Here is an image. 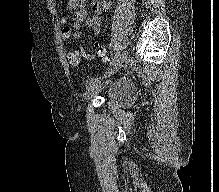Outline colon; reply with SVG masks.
I'll return each mask as SVG.
<instances>
[{
  "label": "colon",
  "mask_w": 219,
  "mask_h": 192,
  "mask_svg": "<svg viewBox=\"0 0 219 192\" xmlns=\"http://www.w3.org/2000/svg\"><path fill=\"white\" fill-rule=\"evenodd\" d=\"M94 50L98 57L105 59L107 55L106 48L99 42L94 43ZM84 56L79 53H69L68 58L72 63H78Z\"/></svg>",
  "instance_id": "1"
}]
</instances>
